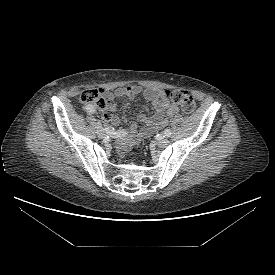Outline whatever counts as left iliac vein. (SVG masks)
Instances as JSON below:
<instances>
[{
  "instance_id": "obj_1",
  "label": "left iliac vein",
  "mask_w": 275,
  "mask_h": 275,
  "mask_svg": "<svg viewBox=\"0 0 275 275\" xmlns=\"http://www.w3.org/2000/svg\"><path fill=\"white\" fill-rule=\"evenodd\" d=\"M157 144L160 147H166L169 144V140L167 138L160 137L157 139Z\"/></svg>"
}]
</instances>
